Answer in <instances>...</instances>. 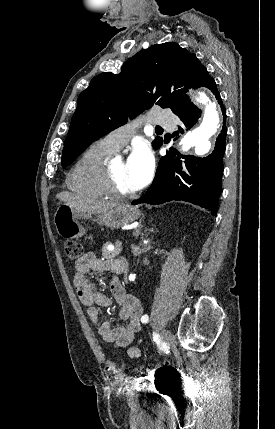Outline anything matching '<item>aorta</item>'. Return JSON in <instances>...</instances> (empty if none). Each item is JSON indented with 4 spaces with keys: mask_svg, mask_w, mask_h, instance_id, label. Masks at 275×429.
Wrapping results in <instances>:
<instances>
[{
    "mask_svg": "<svg viewBox=\"0 0 275 429\" xmlns=\"http://www.w3.org/2000/svg\"><path fill=\"white\" fill-rule=\"evenodd\" d=\"M196 102L204 108L203 120L199 126L186 133L180 144L184 151L195 148L197 154H205L210 150L211 138L221 126L222 112L216 100L206 90L198 93Z\"/></svg>",
    "mask_w": 275,
    "mask_h": 429,
    "instance_id": "1",
    "label": "aorta"
}]
</instances>
